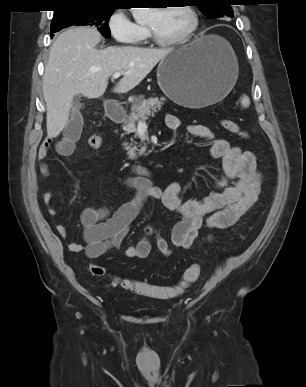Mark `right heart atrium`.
Listing matches in <instances>:
<instances>
[{
	"mask_svg": "<svg viewBox=\"0 0 306 387\" xmlns=\"http://www.w3.org/2000/svg\"><path fill=\"white\" fill-rule=\"evenodd\" d=\"M107 27L113 39L124 45L136 44L144 39L145 29L134 22L126 10L116 9L109 16Z\"/></svg>",
	"mask_w": 306,
	"mask_h": 387,
	"instance_id": "d8ad5b80",
	"label": "right heart atrium"
}]
</instances>
